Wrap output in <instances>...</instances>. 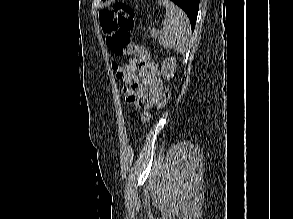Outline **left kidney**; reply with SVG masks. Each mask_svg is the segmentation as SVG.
<instances>
[{"label": "left kidney", "instance_id": "left-kidney-1", "mask_svg": "<svg viewBox=\"0 0 293 219\" xmlns=\"http://www.w3.org/2000/svg\"><path fill=\"white\" fill-rule=\"evenodd\" d=\"M176 70V58L170 57L166 58L162 63L161 73L163 77L170 79L174 75Z\"/></svg>", "mask_w": 293, "mask_h": 219}]
</instances>
